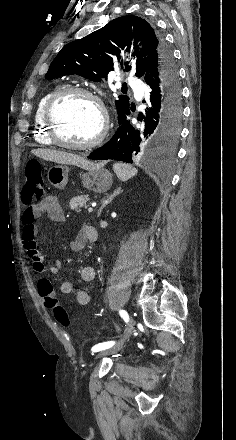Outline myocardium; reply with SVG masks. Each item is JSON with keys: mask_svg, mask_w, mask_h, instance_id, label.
Here are the masks:
<instances>
[{"mask_svg": "<svg viewBox=\"0 0 236 440\" xmlns=\"http://www.w3.org/2000/svg\"><path fill=\"white\" fill-rule=\"evenodd\" d=\"M71 95H78L91 100L99 110V131L92 140L86 143H68L59 137L56 129V122L53 115L54 109L63 98ZM43 123L49 138L55 145L70 150H89L99 145L106 137L109 128V116L103 100L97 94L81 87H63L54 92L48 99L43 112Z\"/></svg>", "mask_w": 236, "mask_h": 440, "instance_id": "f54148a6", "label": "myocardium"}]
</instances>
